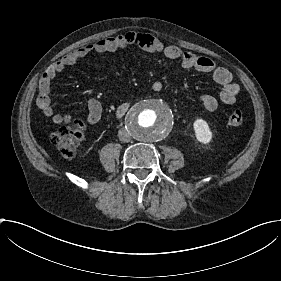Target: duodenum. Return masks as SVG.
Segmentation results:
<instances>
[{
	"label": "duodenum",
	"instance_id": "duodenum-1",
	"mask_svg": "<svg viewBox=\"0 0 281 281\" xmlns=\"http://www.w3.org/2000/svg\"><path fill=\"white\" fill-rule=\"evenodd\" d=\"M128 109V104L121 105L117 110V116L122 117Z\"/></svg>",
	"mask_w": 281,
	"mask_h": 281
}]
</instances>
